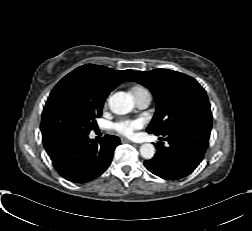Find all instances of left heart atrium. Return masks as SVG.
<instances>
[{"label": "left heart atrium", "mask_w": 252, "mask_h": 231, "mask_svg": "<svg viewBox=\"0 0 252 231\" xmlns=\"http://www.w3.org/2000/svg\"><path fill=\"white\" fill-rule=\"evenodd\" d=\"M144 125V120L141 118L136 119H124L116 122L114 124V129L126 136H131L133 133L142 128Z\"/></svg>", "instance_id": "1"}]
</instances>
